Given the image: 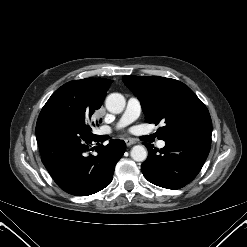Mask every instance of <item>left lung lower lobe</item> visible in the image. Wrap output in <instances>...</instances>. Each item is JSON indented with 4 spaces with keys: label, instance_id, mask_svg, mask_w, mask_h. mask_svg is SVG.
<instances>
[{
    "label": "left lung lower lobe",
    "instance_id": "0a47b994",
    "mask_svg": "<svg viewBox=\"0 0 247 247\" xmlns=\"http://www.w3.org/2000/svg\"><path fill=\"white\" fill-rule=\"evenodd\" d=\"M211 131L176 134L165 139V147L145 143L148 158L141 165L145 178L160 187L179 189L201 170L211 146Z\"/></svg>",
    "mask_w": 247,
    "mask_h": 247
}]
</instances>
